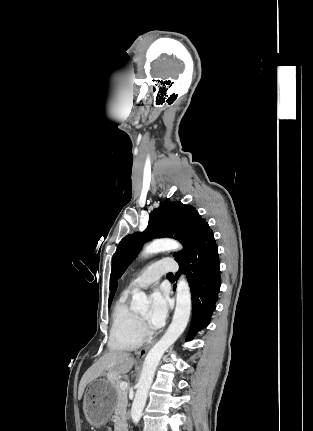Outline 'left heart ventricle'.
<instances>
[{
  "instance_id": "left-heart-ventricle-1",
  "label": "left heart ventricle",
  "mask_w": 313,
  "mask_h": 431,
  "mask_svg": "<svg viewBox=\"0 0 313 431\" xmlns=\"http://www.w3.org/2000/svg\"><path fill=\"white\" fill-rule=\"evenodd\" d=\"M148 315H149V314H148V312H145V313H143L141 316H142V318H143V319H147V318H148Z\"/></svg>"
}]
</instances>
